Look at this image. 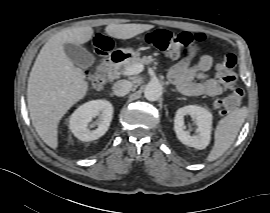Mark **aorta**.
<instances>
[{"mask_svg": "<svg viewBox=\"0 0 270 213\" xmlns=\"http://www.w3.org/2000/svg\"><path fill=\"white\" fill-rule=\"evenodd\" d=\"M163 93L162 84L157 80L150 81L144 90V96L149 101H156L158 100Z\"/></svg>", "mask_w": 270, "mask_h": 213, "instance_id": "aorta-1", "label": "aorta"}]
</instances>
